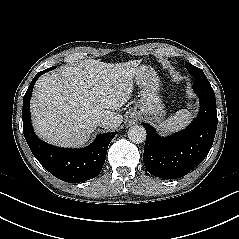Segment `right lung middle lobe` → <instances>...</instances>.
I'll return each mask as SVG.
<instances>
[{
  "label": "right lung middle lobe",
  "instance_id": "dd1d6c3e",
  "mask_svg": "<svg viewBox=\"0 0 239 239\" xmlns=\"http://www.w3.org/2000/svg\"><path fill=\"white\" fill-rule=\"evenodd\" d=\"M55 68H56V67H55V66H53V67H50L49 69H50V70H52V69H55Z\"/></svg>",
  "mask_w": 239,
  "mask_h": 239
}]
</instances>
